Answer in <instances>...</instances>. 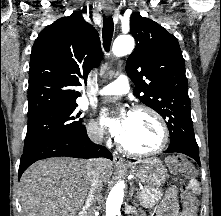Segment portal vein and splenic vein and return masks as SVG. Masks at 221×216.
<instances>
[{"instance_id": "18ae733b", "label": "portal vein and splenic vein", "mask_w": 221, "mask_h": 216, "mask_svg": "<svg viewBox=\"0 0 221 216\" xmlns=\"http://www.w3.org/2000/svg\"><path fill=\"white\" fill-rule=\"evenodd\" d=\"M140 194H143L144 193V191H141V192H139Z\"/></svg>"}]
</instances>
